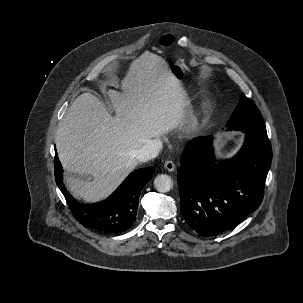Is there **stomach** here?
I'll use <instances>...</instances> for the list:
<instances>
[{"label":"stomach","instance_id":"obj_1","mask_svg":"<svg viewBox=\"0 0 303 303\" xmlns=\"http://www.w3.org/2000/svg\"><path fill=\"white\" fill-rule=\"evenodd\" d=\"M170 70L173 75H175L178 79H180L185 73V67L181 63H174L170 65Z\"/></svg>","mask_w":303,"mask_h":303}]
</instances>
